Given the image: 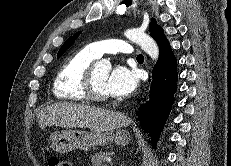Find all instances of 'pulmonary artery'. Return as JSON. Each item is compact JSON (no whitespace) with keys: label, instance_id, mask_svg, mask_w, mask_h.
<instances>
[{"label":"pulmonary artery","instance_id":"1","mask_svg":"<svg viewBox=\"0 0 231 166\" xmlns=\"http://www.w3.org/2000/svg\"><path fill=\"white\" fill-rule=\"evenodd\" d=\"M88 46L97 57H101L103 54H117L120 52L126 54L134 53L132 45L120 39L96 41L90 43Z\"/></svg>","mask_w":231,"mask_h":166}]
</instances>
